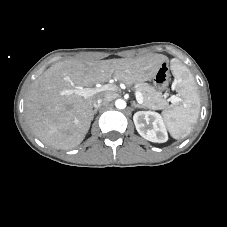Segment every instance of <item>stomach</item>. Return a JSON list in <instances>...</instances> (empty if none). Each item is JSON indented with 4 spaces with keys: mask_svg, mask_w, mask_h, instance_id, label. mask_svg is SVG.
<instances>
[{
    "mask_svg": "<svg viewBox=\"0 0 227 227\" xmlns=\"http://www.w3.org/2000/svg\"><path fill=\"white\" fill-rule=\"evenodd\" d=\"M167 65L168 61L164 60L163 63L160 64L159 70L152 78L153 85L158 91H163L168 87L170 74L168 69L166 68Z\"/></svg>",
    "mask_w": 227,
    "mask_h": 227,
    "instance_id": "stomach-1",
    "label": "stomach"
}]
</instances>
